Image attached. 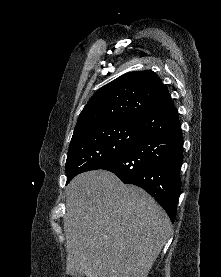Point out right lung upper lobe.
I'll list each match as a JSON object with an SVG mask.
<instances>
[{
  "label": "right lung upper lobe",
  "mask_w": 221,
  "mask_h": 277,
  "mask_svg": "<svg viewBox=\"0 0 221 277\" xmlns=\"http://www.w3.org/2000/svg\"><path fill=\"white\" fill-rule=\"evenodd\" d=\"M170 100L167 88L154 72L123 74L91 97L79 115L74 134L100 125L138 121Z\"/></svg>",
  "instance_id": "cb5924a9"
}]
</instances>
